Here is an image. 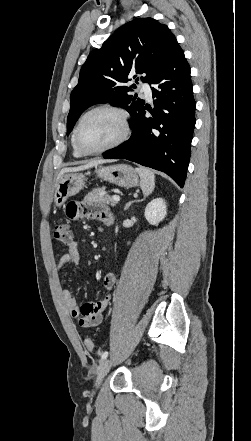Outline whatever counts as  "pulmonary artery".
<instances>
[{
    "instance_id": "1",
    "label": "pulmonary artery",
    "mask_w": 251,
    "mask_h": 441,
    "mask_svg": "<svg viewBox=\"0 0 251 441\" xmlns=\"http://www.w3.org/2000/svg\"><path fill=\"white\" fill-rule=\"evenodd\" d=\"M140 91L142 93H144L145 97L148 100H151V98H152V89H151V85L149 83H147V82L142 83L141 86H140Z\"/></svg>"
}]
</instances>
